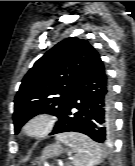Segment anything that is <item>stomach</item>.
<instances>
[{"instance_id": "0dacf381", "label": "stomach", "mask_w": 135, "mask_h": 166, "mask_svg": "<svg viewBox=\"0 0 135 166\" xmlns=\"http://www.w3.org/2000/svg\"><path fill=\"white\" fill-rule=\"evenodd\" d=\"M63 152H64V149L62 148V146L60 144H58V143L51 144L43 150L42 155H41L38 163L40 164V163H43L50 158L59 156Z\"/></svg>"}]
</instances>
